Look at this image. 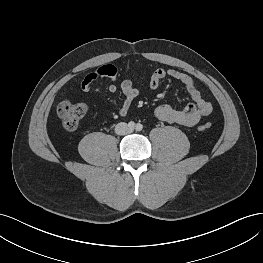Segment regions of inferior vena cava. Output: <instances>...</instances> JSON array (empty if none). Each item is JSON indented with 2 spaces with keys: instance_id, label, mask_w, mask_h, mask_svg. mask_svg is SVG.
<instances>
[{
  "instance_id": "602c4592",
  "label": "inferior vena cava",
  "mask_w": 263,
  "mask_h": 263,
  "mask_svg": "<svg viewBox=\"0 0 263 263\" xmlns=\"http://www.w3.org/2000/svg\"><path fill=\"white\" fill-rule=\"evenodd\" d=\"M131 132V128L125 122H120L115 127V133L118 135H126Z\"/></svg>"
}]
</instances>
